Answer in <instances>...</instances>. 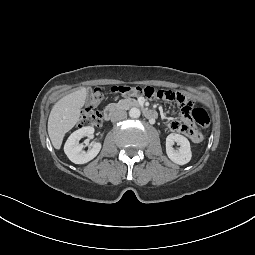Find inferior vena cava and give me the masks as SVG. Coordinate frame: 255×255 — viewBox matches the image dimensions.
<instances>
[{
  "label": "inferior vena cava",
  "instance_id": "obj_1",
  "mask_svg": "<svg viewBox=\"0 0 255 255\" xmlns=\"http://www.w3.org/2000/svg\"><path fill=\"white\" fill-rule=\"evenodd\" d=\"M127 117V112L125 110H115L111 115V121L117 122L125 119Z\"/></svg>",
  "mask_w": 255,
  "mask_h": 255
}]
</instances>
